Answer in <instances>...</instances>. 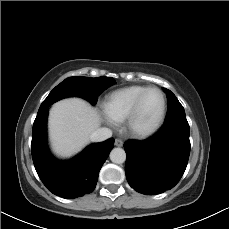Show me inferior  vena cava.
Masks as SVG:
<instances>
[{
    "label": "inferior vena cava",
    "instance_id": "602c4592",
    "mask_svg": "<svg viewBox=\"0 0 229 229\" xmlns=\"http://www.w3.org/2000/svg\"><path fill=\"white\" fill-rule=\"evenodd\" d=\"M112 136V131L108 128H98L91 135L90 139L93 142H102Z\"/></svg>",
    "mask_w": 229,
    "mask_h": 229
}]
</instances>
